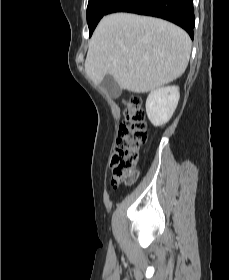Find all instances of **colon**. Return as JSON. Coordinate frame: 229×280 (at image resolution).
Segmentation results:
<instances>
[{"instance_id": "colon-1", "label": "colon", "mask_w": 229, "mask_h": 280, "mask_svg": "<svg viewBox=\"0 0 229 280\" xmlns=\"http://www.w3.org/2000/svg\"><path fill=\"white\" fill-rule=\"evenodd\" d=\"M124 107V122L113 148L110 167L115 180L132 184L136 180L135 168L139 163V151L147 140V130L141 97H126Z\"/></svg>"}]
</instances>
